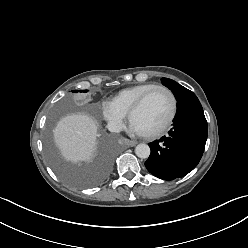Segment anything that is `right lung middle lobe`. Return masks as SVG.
<instances>
[{
    "label": "right lung middle lobe",
    "mask_w": 248,
    "mask_h": 248,
    "mask_svg": "<svg viewBox=\"0 0 248 248\" xmlns=\"http://www.w3.org/2000/svg\"><path fill=\"white\" fill-rule=\"evenodd\" d=\"M73 92H78L73 90ZM87 92V90H80ZM47 153L50 163L57 174L66 182L78 187H90L98 184L110 169L114 151L105 144L98 159L91 165H74L63 160L57 153L52 137H47Z\"/></svg>",
    "instance_id": "dd1d6c3e"
}]
</instances>
